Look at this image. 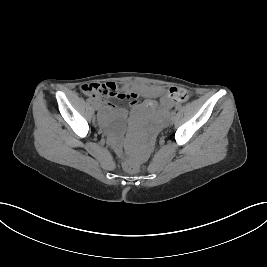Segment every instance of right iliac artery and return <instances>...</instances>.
I'll use <instances>...</instances> for the list:
<instances>
[{"label":"right iliac artery","mask_w":267,"mask_h":267,"mask_svg":"<svg viewBox=\"0 0 267 267\" xmlns=\"http://www.w3.org/2000/svg\"><path fill=\"white\" fill-rule=\"evenodd\" d=\"M88 102L94 104V101L91 98L88 99Z\"/></svg>","instance_id":"obj_1"}]
</instances>
